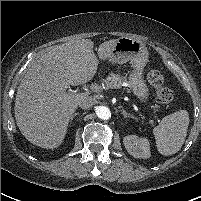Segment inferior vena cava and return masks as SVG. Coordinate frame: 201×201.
I'll return each instance as SVG.
<instances>
[{
    "instance_id": "inferior-vena-cava-1",
    "label": "inferior vena cava",
    "mask_w": 201,
    "mask_h": 201,
    "mask_svg": "<svg viewBox=\"0 0 201 201\" xmlns=\"http://www.w3.org/2000/svg\"><path fill=\"white\" fill-rule=\"evenodd\" d=\"M96 103V99L92 98L91 96H82L79 101H78V105L82 108V109H89L90 107H92L94 104Z\"/></svg>"
}]
</instances>
